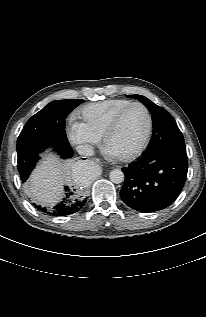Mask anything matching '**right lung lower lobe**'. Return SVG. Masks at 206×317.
<instances>
[{"mask_svg":"<svg viewBox=\"0 0 206 317\" xmlns=\"http://www.w3.org/2000/svg\"><path fill=\"white\" fill-rule=\"evenodd\" d=\"M57 150L63 158H69L73 155L72 148L70 147L68 141L65 145L57 147ZM65 190L66 197L58 203L53 210L49 211L36 204H34V206L37 209L53 216H66L79 211L85 205L87 198H85L81 193L74 192L75 189L74 191H71L67 186L65 187Z\"/></svg>","mask_w":206,"mask_h":317,"instance_id":"obj_1","label":"right lung lower lobe"}]
</instances>
